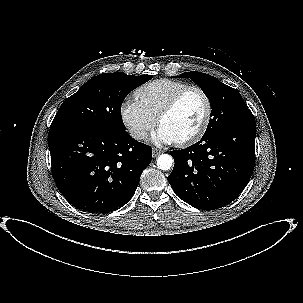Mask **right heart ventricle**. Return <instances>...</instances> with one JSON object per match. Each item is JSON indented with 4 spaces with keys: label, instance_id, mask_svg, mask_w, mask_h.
<instances>
[{
    "label": "right heart ventricle",
    "instance_id": "right-heart-ventricle-1",
    "mask_svg": "<svg viewBox=\"0 0 303 303\" xmlns=\"http://www.w3.org/2000/svg\"><path fill=\"white\" fill-rule=\"evenodd\" d=\"M187 86H189L187 83L179 80L158 79L138 88L135 96L146 111L157 118L170 99Z\"/></svg>",
    "mask_w": 303,
    "mask_h": 303
}]
</instances>
